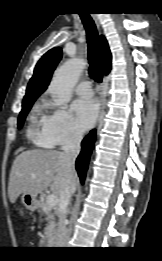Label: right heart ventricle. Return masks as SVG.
Returning a JSON list of instances; mask_svg holds the SVG:
<instances>
[{
	"label": "right heart ventricle",
	"instance_id": "1",
	"mask_svg": "<svg viewBox=\"0 0 162 261\" xmlns=\"http://www.w3.org/2000/svg\"><path fill=\"white\" fill-rule=\"evenodd\" d=\"M41 113H42V105L41 104H37L31 114L30 120H31V129H30V133L32 135H34L36 137V139L38 140L39 137V133L37 132L36 126L38 123H41V120L43 117H41ZM41 145L44 146H48L44 143H40Z\"/></svg>",
	"mask_w": 162,
	"mask_h": 261
}]
</instances>
